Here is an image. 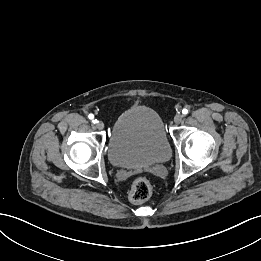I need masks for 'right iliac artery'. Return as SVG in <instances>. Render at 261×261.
Here are the masks:
<instances>
[{"instance_id": "obj_1", "label": "right iliac artery", "mask_w": 261, "mask_h": 261, "mask_svg": "<svg viewBox=\"0 0 261 261\" xmlns=\"http://www.w3.org/2000/svg\"><path fill=\"white\" fill-rule=\"evenodd\" d=\"M88 118H89L90 120H92V122H93L94 124L97 122V119L94 120V115H93V114H89V115H88Z\"/></svg>"}]
</instances>
